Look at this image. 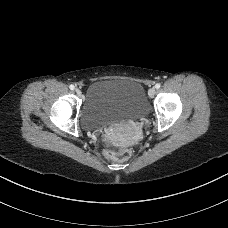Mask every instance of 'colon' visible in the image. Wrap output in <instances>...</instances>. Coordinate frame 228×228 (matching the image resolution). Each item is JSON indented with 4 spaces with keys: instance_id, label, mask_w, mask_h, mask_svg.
Instances as JSON below:
<instances>
[{
    "instance_id": "1",
    "label": "colon",
    "mask_w": 228,
    "mask_h": 228,
    "mask_svg": "<svg viewBox=\"0 0 228 228\" xmlns=\"http://www.w3.org/2000/svg\"><path fill=\"white\" fill-rule=\"evenodd\" d=\"M105 155L114 160H126L132 157V151L129 148L109 142Z\"/></svg>"
}]
</instances>
